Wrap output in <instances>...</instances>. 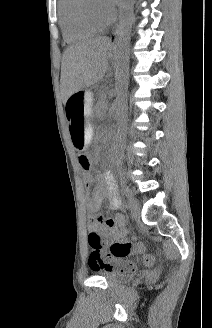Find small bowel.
<instances>
[{"mask_svg":"<svg viewBox=\"0 0 212 328\" xmlns=\"http://www.w3.org/2000/svg\"><path fill=\"white\" fill-rule=\"evenodd\" d=\"M83 178L88 194L86 205L91 214L89 229L101 233L107 243L113 240L125 239L128 230L123 214L117 213L113 217H107L99 213L105 197L108 198L109 208L111 210H120L122 208V200L113 173L111 171H106L103 174H97L93 177L90 170H83ZM93 186L94 189L91 193ZM90 267L93 270H99L96 266L90 265ZM121 269L133 270L134 264L128 263Z\"/></svg>","mask_w":212,"mask_h":328,"instance_id":"c3829d8e","label":"small bowel"}]
</instances>
